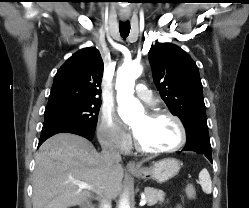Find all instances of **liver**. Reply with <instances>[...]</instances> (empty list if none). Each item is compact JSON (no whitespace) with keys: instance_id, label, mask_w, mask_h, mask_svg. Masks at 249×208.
<instances>
[{"instance_id":"liver-1","label":"liver","mask_w":249,"mask_h":208,"mask_svg":"<svg viewBox=\"0 0 249 208\" xmlns=\"http://www.w3.org/2000/svg\"><path fill=\"white\" fill-rule=\"evenodd\" d=\"M123 168L109 167L84 137L59 133L47 139L35 156L33 208H69L94 198H115L122 189ZM82 181L91 189H81Z\"/></svg>"}]
</instances>
